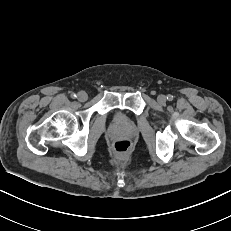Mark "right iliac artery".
<instances>
[{"label": "right iliac artery", "mask_w": 231, "mask_h": 231, "mask_svg": "<svg viewBox=\"0 0 231 231\" xmlns=\"http://www.w3.org/2000/svg\"><path fill=\"white\" fill-rule=\"evenodd\" d=\"M76 97V94L75 93H72L71 94V98H75Z\"/></svg>", "instance_id": "82829eb1"}]
</instances>
